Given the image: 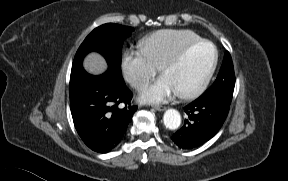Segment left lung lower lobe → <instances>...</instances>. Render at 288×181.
<instances>
[{
  "instance_id": "obj_1",
  "label": "left lung lower lobe",
  "mask_w": 288,
  "mask_h": 181,
  "mask_svg": "<svg viewBox=\"0 0 288 181\" xmlns=\"http://www.w3.org/2000/svg\"><path fill=\"white\" fill-rule=\"evenodd\" d=\"M230 105L218 99H200L184 108L189 117L171 139L182 149L198 147L211 139L223 125Z\"/></svg>"
}]
</instances>
